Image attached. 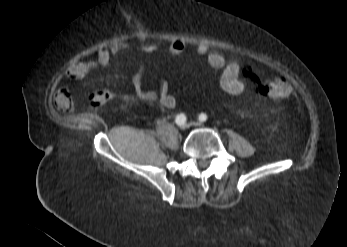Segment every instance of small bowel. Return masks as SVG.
<instances>
[{
    "instance_id": "1",
    "label": "small bowel",
    "mask_w": 347,
    "mask_h": 247,
    "mask_svg": "<svg viewBox=\"0 0 347 247\" xmlns=\"http://www.w3.org/2000/svg\"><path fill=\"white\" fill-rule=\"evenodd\" d=\"M187 44L181 39L168 42L167 50L170 54L177 55L186 49ZM129 48L124 42H118L111 47H100L96 51L93 60H79L68 68V75L76 80L84 79L88 74L97 68L107 66L114 55ZM138 51L144 54H152L160 49L159 43L146 42L137 47ZM199 55L205 56L209 66L219 72V85L221 89L232 96H239L247 90L252 73L244 68L237 60H227L218 50L211 49L210 46L199 44L195 47ZM145 78V67L143 63H138L136 72L133 75L132 83L137 97L144 102H157L166 109L176 107L177 100L170 93V85L163 81L157 90H147L143 86ZM55 106L62 113H71L74 110V102L68 89L59 90L54 98Z\"/></svg>"
}]
</instances>
